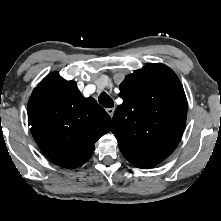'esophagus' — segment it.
Masks as SVG:
<instances>
[{
  "label": "esophagus",
  "mask_w": 221,
  "mask_h": 221,
  "mask_svg": "<svg viewBox=\"0 0 221 221\" xmlns=\"http://www.w3.org/2000/svg\"><path fill=\"white\" fill-rule=\"evenodd\" d=\"M106 111L109 114V116L112 117L114 114L115 108H107Z\"/></svg>",
  "instance_id": "obj_1"
}]
</instances>
